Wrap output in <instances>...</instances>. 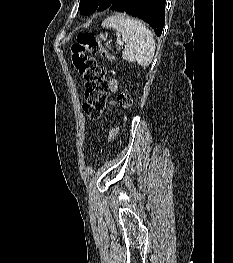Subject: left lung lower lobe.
Here are the masks:
<instances>
[{
	"label": "left lung lower lobe",
	"mask_w": 233,
	"mask_h": 263,
	"mask_svg": "<svg viewBox=\"0 0 233 263\" xmlns=\"http://www.w3.org/2000/svg\"><path fill=\"white\" fill-rule=\"evenodd\" d=\"M165 4L166 0H115L109 9L143 19L160 36L165 25Z\"/></svg>",
	"instance_id": "left-lung-lower-lobe-1"
}]
</instances>
